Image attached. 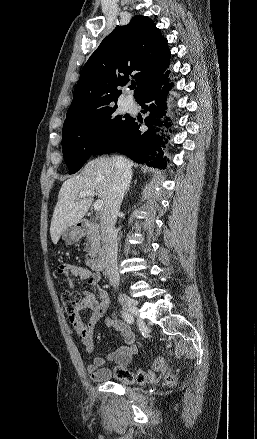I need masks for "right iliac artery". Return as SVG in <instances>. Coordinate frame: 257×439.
Returning <instances> with one entry per match:
<instances>
[{
    "label": "right iliac artery",
    "instance_id": "1",
    "mask_svg": "<svg viewBox=\"0 0 257 439\" xmlns=\"http://www.w3.org/2000/svg\"><path fill=\"white\" fill-rule=\"evenodd\" d=\"M122 317L129 324L133 323V321H134L133 317L130 314H128L127 312H122Z\"/></svg>",
    "mask_w": 257,
    "mask_h": 439
}]
</instances>
